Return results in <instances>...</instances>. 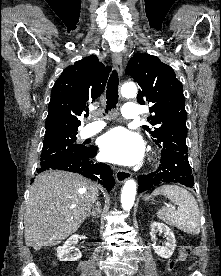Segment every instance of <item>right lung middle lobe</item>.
<instances>
[{
    "label": "right lung middle lobe",
    "instance_id": "dd1d6c3e",
    "mask_svg": "<svg viewBox=\"0 0 221 276\" xmlns=\"http://www.w3.org/2000/svg\"><path fill=\"white\" fill-rule=\"evenodd\" d=\"M77 132H56L45 134L41 161L67 155L86 153L89 148L76 142Z\"/></svg>",
    "mask_w": 221,
    "mask_h": 276
}]
</instances>
